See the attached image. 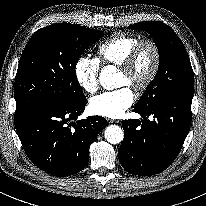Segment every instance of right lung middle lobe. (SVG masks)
<instances>
[{"mask_svg":"<svg viewBox=\"0 0 206 206\" xmlns=\"http://www.w3.org/2000/svg\"><path fill=\"white\" fill-rule=\"evenodd\" d=\"M102 31L57 23L36 31L28 41L15 77L16 115L52 103L85 99L75 67Z\"/></svg>","mask_w":206,"mask_h":206,"instance_id":"obj_1","label":"right lung middle lobe"}]
</instances>
